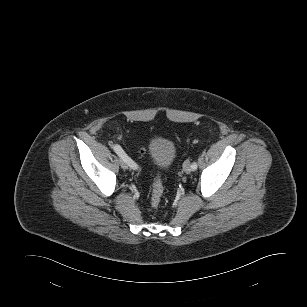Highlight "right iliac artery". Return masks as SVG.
I'll list each match as a JSON object with an SVG mask.
<instances>
[{
    "mask_svg": "<svg viewBox=\"0 0 307 307\" xmlns=\"http://www.w3.org/2000/svg\"><path fill=\"white\" fill-rule=\"evenodd\" d=\"M114 151L116 152V154L121 157L123 160L126 161V163L132 168V169H137L138 165L127 156V154L124 152V150L121 148L120 145L115 144L113 146Z\"/></svg>",
    "mask_w": 307,
    "mask_h": 307,
    "instance_id": "right-iliac-artery-1",
    "label": "right iliac artery"
}]
</instances>
